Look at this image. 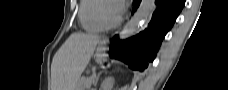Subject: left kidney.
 Returning <instances> with one entry per match:
<instances>
[{
  "instance_id": "obj_1",
  "label": "left kidney",
  "mask_w": 228,
  "mask_h": 90,
  "mask_svg": "<svg viewBox=\"0 0 228 90\" xmlns=\"http://www.w3.org/2000/svg\"><path fill=\"white\" fill-rule=\"evenodd\" d=\"M113 86H114V78L108 77L102 82L101 89L102 90H112Z\"/></svg>"
}]
</instances>
